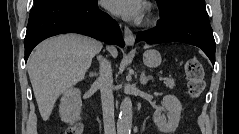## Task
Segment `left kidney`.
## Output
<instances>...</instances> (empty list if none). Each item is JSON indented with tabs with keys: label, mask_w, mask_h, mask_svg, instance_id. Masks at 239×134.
Segmentation results:
<instances>
[{
	"label": "left kidney",
	"mask_w": 239,
	"mask_h": 134,
	"mask_svg": "<svg viewBox=\"0 0 239 134\" xmlns=\"http://www.w3.org/2000/svg\"><path fill=\"white\" fill-rule=\"evenodd\" d=\"M182 105L174 95L163 97L162 107L153 114V120L159 131L164 134H172L179 125ZM164 112H167L165 116Z\"/></svg>",
	"instance_id": "1"
}]
</instances>
